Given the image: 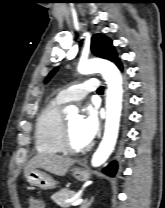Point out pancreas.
<instances>
[{"instance_id":"pancreas-1","label":"pancreas","mask_w":165,"mask_h":208,"mask_svg":"<svg viewBox=\"0 0 165 208\" xmlns=\"http://www.w3.org/2000/svg\"><path fill=\"white\" fill-rule=\"evenodd\" d=\"M76 193L74 191H71L69 189H62L61 191L54 193L51 196V199L60 207L67 208L71 205L70 202H67L66 200L70 199L72 196H74Z\"/></svg>"}]
</instances>
